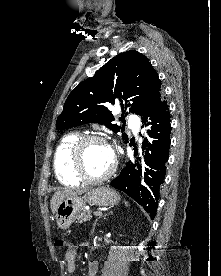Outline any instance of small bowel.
I'll list each match as a JSON object with an SVG mask.
<instances>
[{"instance_id":"obj_1","label":"small bowel","mask_w":221,"mask_h":276,"mask_svg":"<svg viewBox=\"0 0 221 276\" xmlns=\"http://www.w3.org/2000/svg\"><path fill=\"white\" fill-rule=\"evenodd\" d=\"M82 246H87V243H83ZM80 256L76 247L71 246L67 249L65 253V263L67 270L70 273H73L76 269V263L79 260ZM98 271L97 261H89L88 263V276H95Z\"/></svg>"}]
</instances>
